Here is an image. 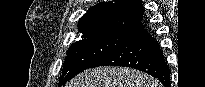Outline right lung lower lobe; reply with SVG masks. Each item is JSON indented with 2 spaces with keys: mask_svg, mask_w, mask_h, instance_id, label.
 Returning a JSON list of instances; mask_svg holds the SVG:
<instances>
[{
  "mask_svg": "<svg viewBox=\"0 0 205 87\" xmlns=\"http://www.w3.org/2000/svg\"><path fill=\"white\" fill-rule=\"evenodd\" d=\"M126 66L144 71L170 86V69L166 64L159 43L143 28L125 42L102 57L92 67Z\"/></svg>",
  "mask_w": 205,
  "mask_h": 87,
  "instance_id": "98d812e1",
  "label": "right lung lower lobe"
}]
</instances>
